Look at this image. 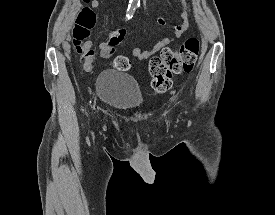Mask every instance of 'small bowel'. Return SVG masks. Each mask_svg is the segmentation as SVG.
<instances>
[{
	"instance_id": "small-bowel-1",
	"label": "small bowel",
	"mask_w": 275,
	"mask_h": 215,
	"mask_svg": "<svg viewBox=\"0 0 275 215\" xmlns=\"http://www.w3.org/2000/svg\"><path fill=\"white\" fill-rule=\"evenodd\" d=\"M181 5V18L183 19V22L178 25L173 26V34L171 37H166L163 40L159 41L154 45V47L151 50H141L139 47H135L132 50V56L138 60H146L150 58L155 52L159 51L161 48H163L166 45L172 44L174 41L179 39L184 32L188 29L189 26V15L190 11L188 6L184 3L185 0H180ZM91 7L93 9L99 8V2L98 0H92ZM157 24L159 26H165L167 24V21L163 17L157 18ZM126 31L124 29H120L117 31H113L109 35V39L106 42H102L99 45H94L92 40H86L84 43V49L87 50H95L99 52L100 56L102 58H109L112 56L114 52L115 46H117L125 37ZM93 68V57H89L87 59V63L85 65L86 70H91Z\"/></svg>"
}]
</instances>
